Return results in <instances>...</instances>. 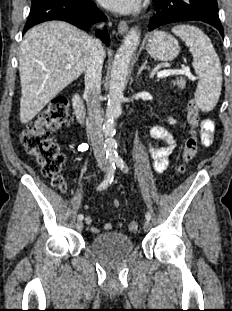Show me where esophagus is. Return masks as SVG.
<instances>
[{
    "instance_id": "obj_1",
    "label": "esophagus",
    "mask_w": 232,
    "mask_h": 311,
    "mask_svg": "<svg viewBox=\"0 0 232 311\" xmlns=\"http://www.w3.org/2000/svg\"><path fill=\"white\" fill-rule=\"evenodd\" d=\"M128 24L125 21H121L118 25V31L120 34H125L128 31Z\"/></svg>"
}]
</instances>
